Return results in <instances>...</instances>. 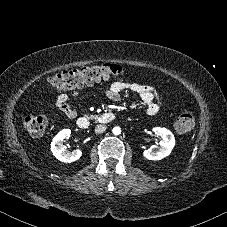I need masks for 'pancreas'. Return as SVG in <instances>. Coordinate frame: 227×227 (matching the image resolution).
Segmentation results:
<instances>
[{"mask_svg":"<svg viewBox=\"0 0 227 227\" xmlns=\"http://www.w3.org/2000/svg\"><path fill=\"white\" fill-rule=\"evenodd\" d=\"M88 118H89V119H94V118H96V116H94V115H89Z\"/></svg>","mask_w":227,"mask_h":227,"instance_id":"pancreas-1","label":"pancreas"}]
</instances>
